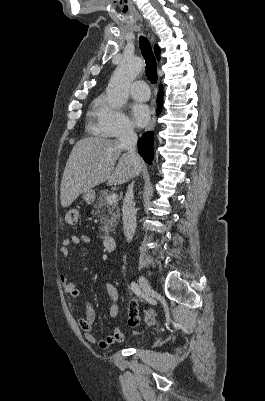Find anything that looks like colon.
<instances>
[{"instance_id": "5ec220e1", "label": "colon", "mask_w": 265, "mask_h": 401, "mask_svg": "<svg viewBox=\"0 0 265 401\" xmlns=\"http://www.w3.org/2000/svg\"><path fill=\"white\" fill-rule=\"evenodd\" d=\"M78 213L77 210H69L66 212L64 220L67 225H74L77 221ZM143 316L145 319L149 322L152 323L155 320L156 313L153 310H145L142 313L139 311L132 313L129 316V323L132 327H135L138 325L140 317Z\"/></svg>"}]
</instances>
